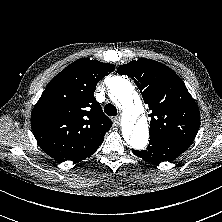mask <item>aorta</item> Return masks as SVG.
<instances>
[{
    "label": "aorta",
    "instance_id": "1",
    "mask_svg": "<svg viewBox=\"0 0 222 222\" xmlns=\"http://www.w3.org/2000/svg\"><path fill=\"white\" fill-rule=\"evenodd\" d=\"M109 92L111 99L123 112V137L134 149H144L149 140V128L141 103L133 102L132 84L125 78L115 77L109 86Z\"/></svg>",
    "mask_w": 222,
    "mask_h": 222
}]
</instances>
